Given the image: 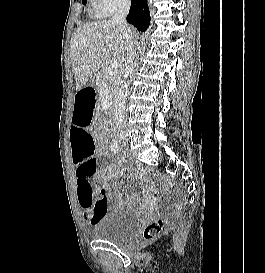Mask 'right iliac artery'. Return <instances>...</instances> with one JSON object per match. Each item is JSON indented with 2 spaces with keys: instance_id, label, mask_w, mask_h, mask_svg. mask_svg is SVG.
<instances>
[{
  "instance_id": "82829eb1",
  "label": "right iliac artery",
  "mask_w": 265,
  "mask_h": 273,
  "mask_svg": "<svg viewBox=\"0 0 265 273\" xmlns=\"http://www.w3.org/2000/svg\"><path fill=\"white\" fill-rule=\"evenodd\" d=\"M119 150H120V147H119L118 140L116 138L111 143V151H113L114 153H118Z\"/></svg>"
}]
</instances>
